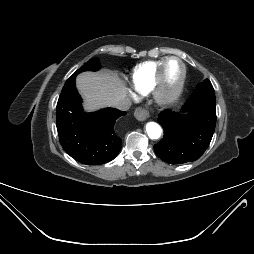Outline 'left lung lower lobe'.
I'll use <instances>...</instances> for the list:
<instances>
[{"label":"left lung lower lobe","instance_id":"1","mask_svg":"<svg viewBox=\"0 0 254 254\" xmlns=\"http://www.w3.org/2000/svg\"><path fill=\"white\" fill-rule=\"evenodd\" d=\"M215 95L195 93L185 103L189 112L181 125L176 113L165 110L158 115L164 130L161 141L154 145L155 153L170 164L197 160L208 148L216 126Z\"/></svg>","mask_w":254,"mask_h":254}]
</instances>
